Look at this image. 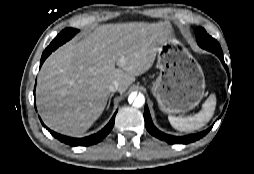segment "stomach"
Listing matches in <instances>:
<instances>
[{"label":"stomach","mask_w":254,"mask_h":174,"mask_svg":"<svg viewBox=\"0 0 254 174\" xmlns=\"http://www.w3.org/2000/svg\"><path fill=\"white\" fill-rule=\"evenodd\" d=\"M157 67L160 73L151 91L161 111L184 113L200 103L205 90L202 68L173 36H167L159 44Z\"/></svg>","instance_id":"0dacf381"}]
</instances>
